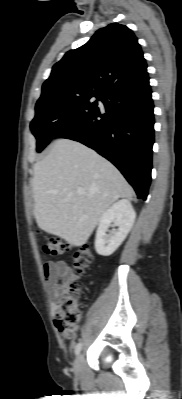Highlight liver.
<instances>
[{"label": "liver", "mask_w": 182, "mask_h": 399, "mask_svg": "<svg viewBox=\"0 0 182 399\" xmlns=\"http://www.w3.org/2000/svg\"><path fill=\"white\" fill-rule=\"evenodd\" d=\"M32 187L38 227L73 246L86 243L116 200L134 195L116 167L70 139L56 140L49 154L35 163Z\"/></svg>", "instance_id": "6515ba94"}]
</instances>
